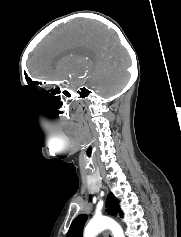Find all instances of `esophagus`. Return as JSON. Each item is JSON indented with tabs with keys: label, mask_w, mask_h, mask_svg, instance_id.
<instances>
[{
	"label": "esophagus",
	"mask_w": 181,
	"mask_h": 237,
	"mask_svg": "<svg viewBox=\"0 0 181 237\" xmlns=\"http://www.w3.org/2000/svg\"><path fill=\"white\" fill-rule=\"evenodd\" d=\"M108 237H112V234H111V232H109V233H108Z\"/></svg>",
	"instance_id": "34e87169"
}]
</instances>
